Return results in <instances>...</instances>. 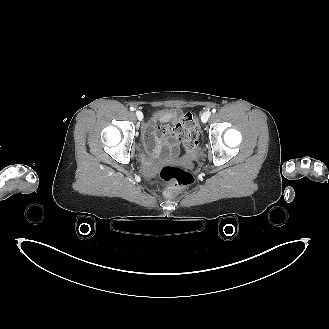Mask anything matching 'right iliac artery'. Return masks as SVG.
Masks as SVG:
<instances>
[{
    "instance_id": "82829eb1",
    "label": "right iliac artery",
    "mask_w": 329,
    "mask_h": 329,
    "mask_svg": "<svg viewBox=\"0 0 329 329\" xmlns=\"http://www.w3.org/2000/svg\"><path fill=\"white\" fill-rule=\"evenodd\" d=\"M130 110H131V111H134V108H133V107H131V108H130Z\"/></svg>"
}]
</instances>
